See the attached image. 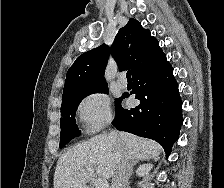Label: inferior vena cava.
<instances>
[{
  "mask_svg": "<svg viewBox=\"0 0 224 188\" xmlns=\"http://www.w3.org/2000/svg\"><path fill=\"white\" fill-rule=\"evenodd\" d=\"M109 136L113 141L119 142V138L116 133L112 132ZM131 161L132 158L128 155L127 151L121 147V154L112 179L111 188H126L131 174Z\"/></svg>",
  "mask_w": 224,
  "mask_h": 188,
  "instance_id": "obj_1",
  "label": "inferior vena cava"
}]
</instances>
